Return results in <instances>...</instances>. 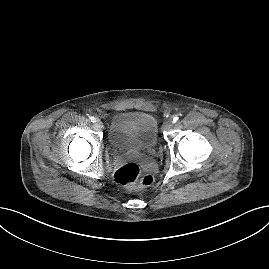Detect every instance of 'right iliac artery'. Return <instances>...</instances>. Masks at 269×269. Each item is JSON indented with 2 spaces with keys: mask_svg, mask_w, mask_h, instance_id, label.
Listing matches in <instances>:
<instances>
[{
  "mask_svg": "<svg viewBox=\"0 0 269 269\" xmlns=\"http://www.w3.org/2000/svg\"><path fill=\"white\" fill-rule=\"evenodd\" d=\"M90 120H91L92 122H95L96 119H95V117H92V116H91V117H90Z\"/></svg>",
  "mask_w": 269,
  "mask_h": 269,
  "instance_id": "obj_1",
  "label": "right iliac artery"
}]
</instances>
